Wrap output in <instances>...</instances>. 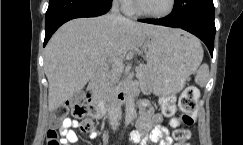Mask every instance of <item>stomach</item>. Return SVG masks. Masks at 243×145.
<instances>
[{"label":"stomach","mask_w":243,"mask_h":145,"mask_svg":"<svg viewBox=\"0 0 243 145\" xmlns=\"http://www.w3.org/2000/svg\"><path fill=\"white\" fill-rule=\"evenodd\" d=\"M202 49L194 36L167 29L150 36L145 42V54L150 72V83L158 95L180 92L186 79L198 67Z\"/></svg>","instance_id":"0dacf381"}]
</instances>
